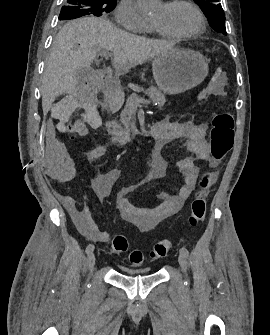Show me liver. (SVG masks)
Listing matches in <instances>:
<instances>
[{"instance_id": "obj_1", "label": "liver", "mask_w": 270, "mask_h": 335, "mask_svg": "<svg viewBox=\"0 0 270 335\" xmlns=\"http://www.w3.org/2000/svg\"><path fill=\"white\" fill-rule=\"evenodd\" d=\"M172 42L149 40L118 30L106 18H78L67 22L53 40L43 74L41 94L43 114H48L55 98L73 94L80 78L92 70L99 50L113 52L117 76L128 74L131 68L144 64L154 56L174 50Z\"/></svg>"}]
</instances>
